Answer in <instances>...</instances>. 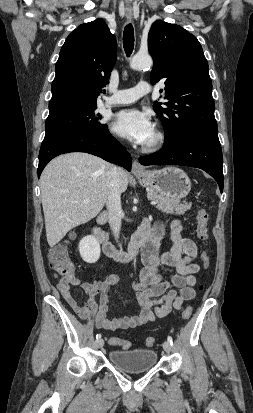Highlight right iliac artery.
<instances>
[{"mask_svg": "<svg viewBox=\"0 0 253 413\" xmlns=\"http://www.w3.org/2000/svg\"><path fill=\"white\" fill-rule=\"evenodd\" d=\"M99 338H101V334L96 335V339H99Z\"/></svg>", "mask_w": 253, "mask_h": 413, "instance_id": "obj_1", "label": "right iliac artery"}]
</instances>
